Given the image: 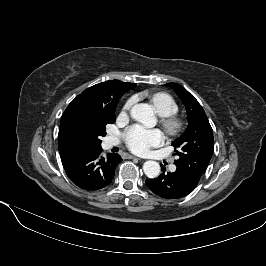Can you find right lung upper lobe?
I'll return each instance as SVG.
<instances>
[{"mask_svg":"<svg viewBox=\"0 0 266 266\" xmlns=\"http://www.w3.org/2000/svg\"><path fill=\"white\" fill-rule=\"evenodd\" d=\"M136 86L119 80L105 81L84 90L66 108L61 117L58 147L61 159L84 148L76 139L71 123L75 114L83 109L111 111L116 108L119 98Z\"/></svg>","mask_w":266,"mask_h":266,"instance_id":"right-lung-upper-lobe-1","label":"right lung upper lobe"}]
</instances>
